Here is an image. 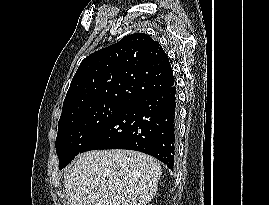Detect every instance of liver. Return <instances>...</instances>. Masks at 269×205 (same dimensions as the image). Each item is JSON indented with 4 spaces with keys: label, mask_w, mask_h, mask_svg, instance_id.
<instances>
[{
    "label": "liver",
    "mask_w": 269,
    "mask_h": 205,
    "mask_svg": "<svg viewBox=\"0 0 269 205\" xmlns=\"http://www.w3.org/2000/svg\"><path fill=\"white\" fill-rule=\"evenodd\" d=\"M158 161L133 150L82 153L64 175L71 205H146L156 195Z\"/></svg>",
    "instance_id": "1"
}]
</instances>
